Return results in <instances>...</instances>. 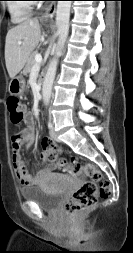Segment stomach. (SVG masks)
<instances>
[{"instance_id":"stomach-1","label":"stomach","mask_w":133,"mask_h":253,"mask_svg":"<svg viewBox=\"0 0 133 253\" xmlns=\"http://www.w3.org/2000/svg\"><path fill=\"white\" fill-rule=\"evenodd\" d=\"M25 89V79L22 75L15 76L11 79L9 84V91L13 95H20Z\"/></svg>"}]
</instances>
